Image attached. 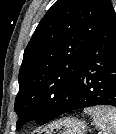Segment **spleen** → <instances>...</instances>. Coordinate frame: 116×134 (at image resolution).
I'll list each match as a JSON object with an SVG mask.
<instances>
[{
  "label": "spleen",
  "mask_w": 116,
  "mask_h": 134,
  "mask_svg": "<svg viewBox=\"0 0 116 134\" xmlns=\"http://www.w3.org/2000/svg\"><path fill=\"white\" fill-rule=\"evenodd\" d=\"M89 114L102 134H116V108L96 106L84 110Z\"/></svg>",
  "instance_id": "1"
}]
</instances>
